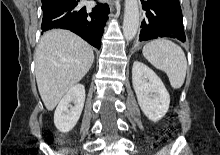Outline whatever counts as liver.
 I'll use <instances>...</instances> for the list:
<instances>
[{"label": "liver", "mask_w": 220, "mask_h": 155, "mask_svg": "<svg viewBox=\"0 0 220 155\" xmlns=\"http://www.w3.org/2000/svg\"><path fill=\"white\" fill-rule=\"evenodd\" d=\"M93 61V48L72 32L54 29L44 33L36 49L35 74L47 110H53L87 74Z\"/></svg>", "instance_id": "obj_1"}]
</instances>
